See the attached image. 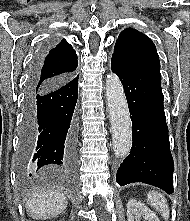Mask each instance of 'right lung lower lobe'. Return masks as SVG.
<instances>
[{
    "instance_id": "1",
    "label": "right lung lower lobe",
    "mask_w": 190,
    "mask_h": 221,
    "mask_svg": "<svg viewBox=\"0 0 190 221\" xmlns=\"http://www.w3.org/2000/svg\"><path fill=\"white\" fill-rule=\"evenodd\" d=\"M36 79L37 68L31 73L26 89L20 168L27 173L47 165L72 168L77 143L74 109L78 76L46 86H36Z\"/></svg>"
}]
</instances>
